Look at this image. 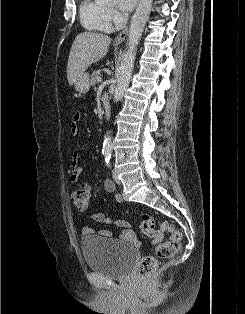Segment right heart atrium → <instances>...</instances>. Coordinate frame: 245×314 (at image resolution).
Masks as SVG:
<instances>
[{
    "label": "right heart atrium",
    "instance_id": "1",
    "mask_svg": "<svg viewBox=\"0 0 245 314\" xmlns=\"http://www.w3.org/2000/svg\"><path fill=\"white\" fill-rule=\"evenodd\" d=\"M118 15L112 8H107L105 12V21L109 29H112V25L116 23Z\"/></svg>",
    "mask_w": 245,
    "mask_h": 314
}]
</instances>
